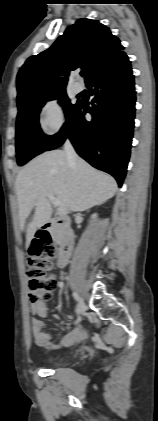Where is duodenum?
I'll use <instances>...</instances> for the list:
<instances>
[{
    "instance_id": "obj_1",
    "label": "duodenum",
    "mask_w": 158,
    "mask_h": 421,
    "mask_svg": "<svg viewBox=\"0 0 158 421\" xmlns=\"http://www.w3.org/2000/svg\"><path fill=\"white\" fill-rule=\"evenodd\" d=\"M52 229L59 231L60 252L57 258L58 267L67 264L74 247V233L68 221L63 217H53L41 227L42 234H48Z\"/></svg>"
}]
</instances>
